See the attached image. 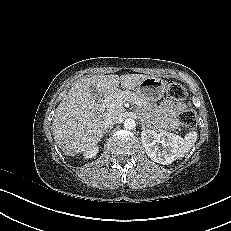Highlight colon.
Returning a JSON list of instances; mask_svg holds the SVG:
<instances>
[{
  "mask_svg": "<svg viewBox=\"0 0 231 231\" xmlns=\"http://www.w3.org/2000/svg\"><path fill=\"white\" fill-rule=\"evenodd\" d=\"M167 94L170 98L183 101L187 98L186 89L179 83L170 82L167 86ZM179 122L187 129H192L196 125V114L192 108L186 107L179 116Z\"/></svg>",
  "mask_w": 231,
  "mask_h": 231,
  "instance_id": "obj_1",
  "label": "colon"
}]
</instances>
